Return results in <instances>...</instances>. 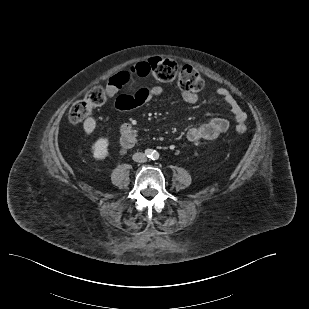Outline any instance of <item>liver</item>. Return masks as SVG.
Segmentation results:
<instances>
[{"instance_id": "6515ba94", "label": "liver", "mask_w": 309, "mask_h": 309, "mask_svg": "<svg viewBox=\"0 0 309 309\" xmlns=\"http://www.w3.org/2000/svg\"><path fill=\"white\" fill-rule=\"evenodd\" d=\"M83 126H84L85 132L87 134H90L94 130V128L96 126V122H95V120L93 118L89 117V118H87L84 121V125Z\"/></svg>"}]
</instances>
